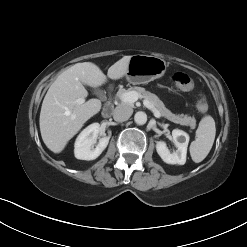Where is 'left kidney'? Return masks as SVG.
<instances>
[{
    "label": "left kidney",
    "instance_id": "5707ae66",
    "mask_svg": "<svg viewBox=\"0 0 247 247\" xmlns=\"http://www.w3.org/2000/svg\"><path fill=\"white\" fill-rule=\"evenodd\" d=\"M172 137L177 150L173 153H170L166 143L164 141H158L156 143L157 153L167 164L184 165L186 162L189 136L182 130L174 129L172 131Z\"/></svg>",
    "mask_w": 247,
    "mask_h": 247
}]
</instances>
